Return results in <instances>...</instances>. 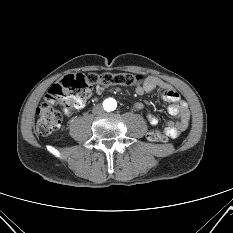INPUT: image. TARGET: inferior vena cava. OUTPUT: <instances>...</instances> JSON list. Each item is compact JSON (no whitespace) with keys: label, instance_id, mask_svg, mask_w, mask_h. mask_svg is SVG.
<instances>
[{"label":"inferior vena cava","instance_id":"inferior-vena-cava-1","mask_svg":"<svg viewBox=\"0 0 233 233\" xmlns=\"http://www.w3.org/2000/svg\"><path fill=\"white\" fill-rule=\"evenodd\" d=\"M92 112L95 115H99V114H102L104 112V110H103V107L100 104H98V105L94 106Z\"/></svg>","mask_w":233,"mask_h":233}]
</instances>
